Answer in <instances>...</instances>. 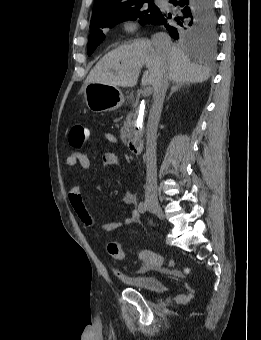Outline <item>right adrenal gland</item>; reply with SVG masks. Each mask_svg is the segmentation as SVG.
Returning a JSON list of instances; mask_svg holds the SVG:
<instances>
[{
  "label": "right adrenal gland",
  "instance_id": "1",
  "mask_svg": "<svg viewBox=\"0 0 261 340\" xmlns=\"http://www.w3.org/2000/svg\"><path fill=\"white\" fill-rule=\"evenodd\" d=\"M185 85H186L185 83H177V82H173V83H172V87H171V91H170V93H169V95H168V97H167V100H169V98L171 97V95H172L174 92L180 90V89H181L182 87H184Z\"/></svg>",
  "mask_w": 261,
  "mask_h": 340
}]
</instances>
